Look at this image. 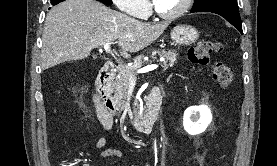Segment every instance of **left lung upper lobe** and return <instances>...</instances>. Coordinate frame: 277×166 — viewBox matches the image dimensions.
I'll return each instance as SVG.
<instances>
[{
	"label": "left lung upper lobe",
	"mask_w": 277,
	"mask_h": 166,
	"mask_svg": "<svg viewBox=\"0 0 277 166\" xmlns=\"http://www.w3.org/2000/svg\"><path fill=\"white\" fill-rule=\"evenodd\" d=\"M215 8L238 11L237 0H194L191 12Z\"/></svg>",
	"instance_id": "1"
}]
</instances>
